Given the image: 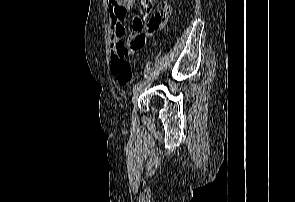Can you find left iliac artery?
<instances>
[{
    "instance_id": "obj_1",
    "label": "left iliac artery",
    "mask_w": 295,
    "mask_h": 202,
    "mask_svg": "<svg viewBox=\"0 0 295 202\" xmlns=\"http://www.w3.org/2000/svg\"><path fill=\"white\" fill-rule=\"evenodd\" d=\"M145 83H146L145 80H142V81L137 82V83L134 85L133 90H135L136 88H138L139 86H141V85H143V84H145Z\"/></svg>"
}]
</instances>
